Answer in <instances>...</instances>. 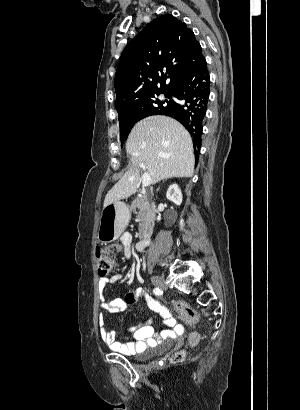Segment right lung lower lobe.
Segmentation results:
<instances>
[{"label": "right lung lower lobe", "mask_w": 300, "mask_h": 410, "mask_svg": "<svg viewBox=\"0 0 300 410\" xmlns=\"http://www.w3.org/2000/svg\"><path fill=\"white\" fill-rule=\"evenodd\" d=\"M210 78L205 58L200 59L175 83L172 96L180 102H172L156 114L178 120L193 138L196 161L200 152L202 122L206 114L210 92Z\"/></svg>", "instance_id": "1"}]
</instances>
